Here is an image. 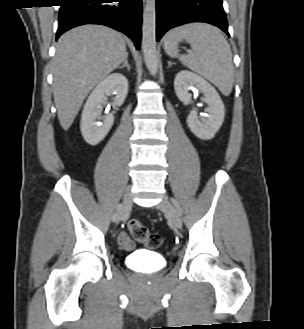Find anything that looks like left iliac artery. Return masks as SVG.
<instances>
[{"instance_id":"left-iliac-artery-1","label":"left iliac artery","mask_w":304,"mask_h":329,"mask_svg":"<svg viewBox=\"0 0 304 329\" xmlns=\"http://www.w3.org/2000/svg\"><path fill=\"white\" fill-rule=\"evenodd\" d=\"M171 201H172V203L175 205V207H176L178 213L181 215L182 211H181V208H180L178 202L176 201V199L171 198Z\"/></svg>"}]
</instances>
